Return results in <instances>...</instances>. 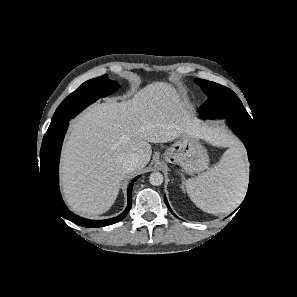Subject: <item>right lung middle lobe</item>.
<instances>
[{"label":"right lung middle lobe","instance_id":"right-lung-middle-lobe-1","mask_svg":"<svg viewBox=\"0 0 297 297\" xmlns=\"http://www.w3.org/2000/svg\"><path fill=\"white\" fill-rule=\"evenodd\" d=\"M117 87L118 84L115 81L109 80L107 74L84 82L58 106L46 133L62 127L67 121L97 99L114 93Z\"/></svg>","mask_w":297,"mask_h":297}]
</instances>
